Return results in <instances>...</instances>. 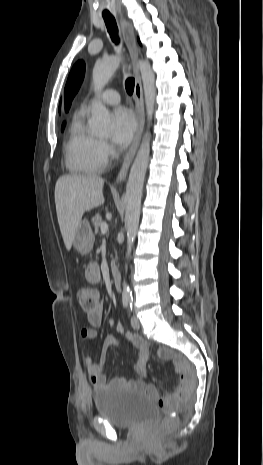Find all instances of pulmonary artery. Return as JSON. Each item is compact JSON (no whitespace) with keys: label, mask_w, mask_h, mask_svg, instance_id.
I'll return each mask as SVG.
<instances>
[{"label":"pulmonary artery","mask_w":263,"mask_h":465,"mask_svg":"<svg viewBox=\"0 0 263 465\" xmlns=\"http://www.w3.org/2000/svg\"><path fill=\"white\" fill-rule=\"evenodd\" d=\"M99 100L108 105H115L120 102V95L116 90L107 89L99 95ZM88 108V105H84L82 111L85 112Z\"/></svg>","instance_id":"obj_1"}]
</instances>
